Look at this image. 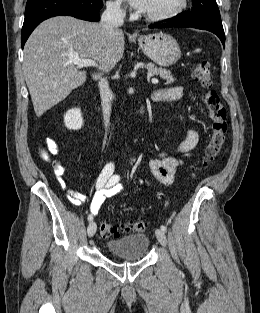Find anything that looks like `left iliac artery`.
Listing matches in <instances>:
<instances>
[{"mask_svg":"<svg viewBox=\"0 0 260 313\" xmlns=\"http://www.w3.org/2000/svg\"><path fill=\"white\" fill-rule=\"evenodd\" d=\"M161 230H163L164 232H166L167 231V228H166V226H164V225H161Z\"/></svg>","mask_w":260,"mask_h":313,"instance_id":"44dca946","label":"left iliac artery"}]
</instances>
